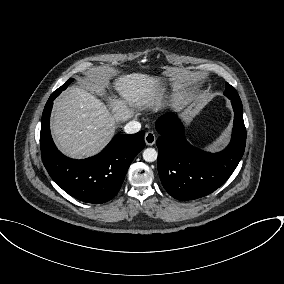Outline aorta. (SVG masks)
<instances>
[{"instance_id": "aorta-1", "label": "aorta", "mask_w": 284, "mask_h": 284, "mask_svg": "<svg viewBox=\"0 0 284 284\" xmlns=\"http://www.w3.org/2000/svg\"><path fill=\"white\" fill-rule=\"evenodd\" d=\"M158 153L154 148H147L143 151V159L146 162H154L157 160Z\"/></svg>"}]
</instances>
